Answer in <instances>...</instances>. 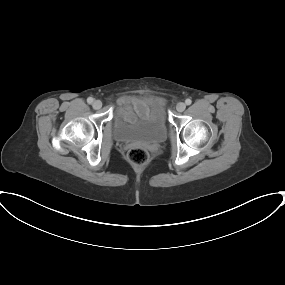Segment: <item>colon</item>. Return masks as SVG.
Returning <instances> with one entry per match:
<instances>
[{"instance_id":"5ec220e1","label":"colon","mask_w":285,"mask_h":285,"mask_svg":"<svg viewBox=\"0 0 285 285\" xmlns=\"http://www.w3.org/2000/svg\"><path fill=\"white\" fill-rule=\"evenodd\" d=\"M128 160L135 166H141L147 163L149 159L148 152L141 147L131 148L127 153Z\"/></svg>"}]
</instances>
